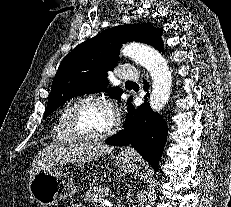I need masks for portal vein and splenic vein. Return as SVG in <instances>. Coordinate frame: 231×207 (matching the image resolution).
Returning a JSON list of instances; mask_svg holds the SVG:
<instances>
[{"label":"portal vein and splenic vein","instance_id":"1","mask_svg":"<svg viewBox=\"0 0 231 207\" xmlns=\"http://www.w3.org/2000/svg\"><path fill=\"white\" fill-rule=\"evenodd\" d=\"M100 207H112V203L107 200L101 201Z\"/></svg>","mask_w":231,"mask_h":207}]
</instances>
